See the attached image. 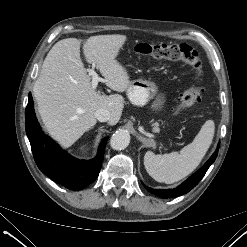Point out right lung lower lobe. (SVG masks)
Returning <instances> with one entry per match:
<instances>
[{"mask_svg":"<svg viewBox=\"0 0 247 247\" xmlns=\"http://www.w3.org/2000/svg\"><path fill=\"white\" fill-rule=\"evenodd\" d=\"M25 114L26 134L34 160L41 172L57 184L74 191L84 189L96 180L101 169L108 137L101 141L95 158L88 161L78 160L63 151L42 132L35 116L30 93Z\"/></svg>","mask_w":247,"mask_h":247,"instance_id":"obj_1","label":"right lung lower lobe"}]
</instances>
